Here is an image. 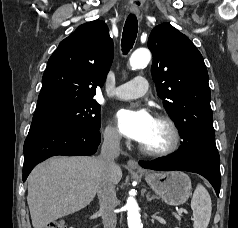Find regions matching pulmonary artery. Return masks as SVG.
<instances>
[{"mask_svg": "<svg viewBox=\"0 0 238 228\" xmlns=\"http://www.w3.org/2000/svg\"><path fill=\"white\" fill-rule=\"evenodd\" d=\"M148 90V81L145 77L137 76L131 81L119 85L113 92L118 99H135L143 96Z\"/></svg>", "mask_w": 238, "mask_h": 228, "instance_id": "1", "label": "pulmonary artery"}]
</instances>
